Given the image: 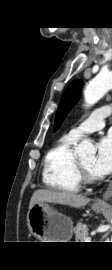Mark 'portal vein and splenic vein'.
I'll return each instance as SVG.
<instances>
[{
    "mask_svg": "<svg viewBox=\"0 0 112 270\" xmlns=\"http://www.w3.org/2000/svg\"><path fill=\"white\" fill-rule=\"evenodd\" d=\"M85 242H91V237H87V238L85 239Z\"/></svg>",
    "mask_w": 112,
    "mask_h": 270,
    "instance_id": "obj_1",
    "label": "portal vein and splenic vein"
}]
</instances>
